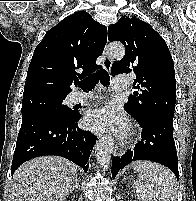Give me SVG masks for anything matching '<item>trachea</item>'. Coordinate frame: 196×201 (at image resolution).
<instances>
[{
    "label": "trachea",
    "mask_w": 196,
    "mask_h": 201,
    "mask_svg": "<svg viewBox=\"0 0 196 201\" xmlns=\"http://www.w3.org/2000/svg\"><path fill=\"white\" fill-rule=\"evenodd\" d=\"M100 81L103 86H108L110 82V76L105 70H100L83 81H78V85L83 90L92 89Z\"/></svg>",
    "instance_id": "obj_1"
}]
</instances>
